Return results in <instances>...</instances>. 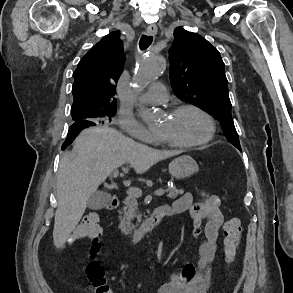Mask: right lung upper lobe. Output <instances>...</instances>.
<instances>
[{
    "label": "right lung upper lobe",
    "instance_id": "cb5924a9",
    "mask_svg": "<svg viewBox=\"0 0 293 293\" xmlns=\"http://www.w3.org/2000/svg\"><path fill=\"white\" fill-rule=\"evenodd\" d=\"M124 61L118 32L109 33L94 45L73 74L72 110L116 107V82Z\"/></svg>",
    "mask_w": 293,
    "mask_h": 293
}]
</instances>
